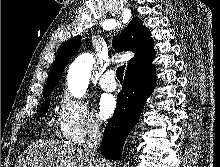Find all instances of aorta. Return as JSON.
<instances>
[{
  "label": "aorta",
  "mask_w": 220,
  "mask_h": 167,
  "mask_svg": "<svg viewBox=\"0 0 220 167\" xmlns=\"http://www.w3.org/2000/svg\"><path fill=\"white\" fill-rule=\"evenodd\" d=\"M94 58L91 54L80 55L70 66L68 87L74 97L81 98L85 94L92 71Z\"/></svg>",
  "instance_id": "aorta-1"
}]
</instances>
